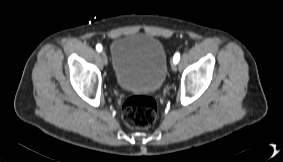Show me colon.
I'll return each mask as SVG.
<instances>
[{
	"mask_svg": "<svg viewBox=\"0 0 283 162\" xmlns=\"http://www.w3.org/2000/svg\"><path fill=\"white\" fill-rule=\"evenodd\" d=\"M158 114L157 101L148 96H132L122 107V117L126 125L136 129L149 128Z\"/></svg>",
	"mask_w": 283,
	"mask_h": 162,
	"instance_id": "obj_1",
	"label": "colon"
}]
</instances>
